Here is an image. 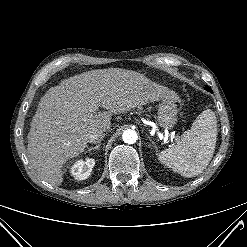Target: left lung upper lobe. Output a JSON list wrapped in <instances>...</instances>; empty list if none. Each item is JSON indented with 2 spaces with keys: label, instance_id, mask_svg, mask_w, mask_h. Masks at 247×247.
Segmentation results:
<instances>
[{
  "label": "left lung upper lobe",
  "instance_id": "5c2ea615",
  "mask_svg": "<svg viewBox=\"0 0 247 247\" xmlns=\"http://www.w3.org/2000/svg\"><path fill=\"white\" fill-rule=\"evenodd\" d=\"M205 89H206L207 91L211 92V89H210L208 86H206Z\"/></svg>",
  "mask_w": 247,
  "mask_h": 247
}]
</instances>
